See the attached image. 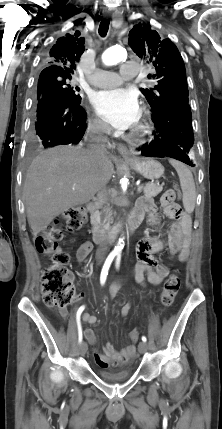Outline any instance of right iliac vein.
Instances as JSON below:
<instances>
[{
	"label": "right iliac vein",
	"instance_id": "1",
	"mask_svg": "<svg viewBox=\"0 0 222 429\" xmlns=\"http://www.w3.org/2000/svg\"><path fill=\"white\" fill-rule=\"evenodd\" d=\"M88 346L85 342H81L80 346H79V354L80 355H85L87 352Z\"/></svg>",
	"mask_w": 222,
	"mask_h": 429
}]
</instances>
